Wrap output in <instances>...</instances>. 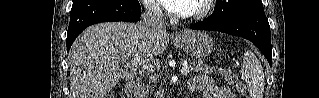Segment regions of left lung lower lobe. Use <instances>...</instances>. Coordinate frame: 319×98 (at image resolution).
Listing matches in <instances>:
<instances>
[{
	"instance_id": "1",
	"label": "left lung lower lobe",
	"mask_w": 319,
	"mask_h": 98,
	"mask_svg": "<svg viewBox=\"0 0 319 98\" xmlns=\"http://www.w3.org/2000/svg\"><path fill=\"white\" fill-rule=\"evenodd\" d=\"M190 28L225 32L246 38L254 43L267 58L269 64H272L270 26L263 6L249 7L220 22H198L190 25Z\"/></svg>"
}]
</instances>
